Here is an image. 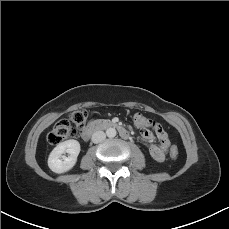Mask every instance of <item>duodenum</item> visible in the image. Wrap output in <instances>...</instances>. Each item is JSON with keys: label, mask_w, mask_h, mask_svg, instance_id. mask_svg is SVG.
<instances>
[{"label": "duodenum", "mask_w": 229, "mask_h": 229, "mask_svg": "<svg viewBox=\"0 0 229 229\" xmlns=\"http://www.w3.org/2000/svg\"><path fill=\"white\" fill-rule=\"evenodd\" d=\"M104 128L117 129L123 138H129V133L127 132L126 128L112 121H94L90 123L84 131V136L89 138L93 133Z\"/></svg>", "instance_id": "duodenum-1"}]
</instances>
